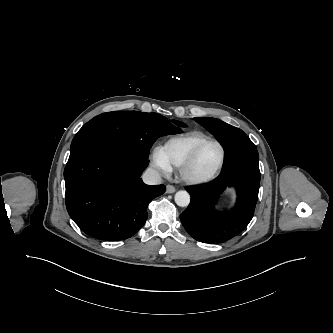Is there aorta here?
<instances>
[{"label": "aorta", "instance_id": "aorta-1", "mask_svg": "<svg viewBox=\"0 0 333 333\" xmlns=\"http://www.w3.org/2000/svg\"><path fill=\"white\" fill-rule=\"evenodd\" d=\"M175 203L180 207H187L190 203V195L184 190L178 191L174 196Z\"/></svg>", "mask_w": 333, "mask_h": 333}]
</instances>
